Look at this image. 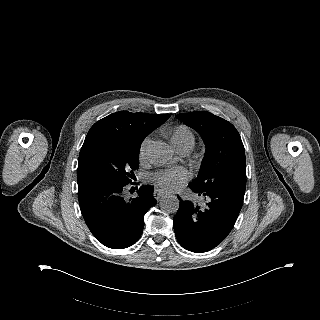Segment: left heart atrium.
<instances>
[{
    "label": "left heart atrium",
    "instance_id": "39dd6f15",
    "mask_svg": "<svg viewBox=\"0 0 320 320\" xmlns=\"http://www.w3.org/2000/svg\"><path fill=\"white\" fill-rule=\"evenodd\" d=\"M187 178L188 174L183 169L162 170L152 175V180L168 191L178 189Z\"/></svg>",
    "mask_w": 320,
    "mask_h": 320
}]
</instances>
